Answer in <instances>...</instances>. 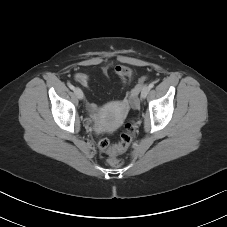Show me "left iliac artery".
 <instances>
[{
    "mask_svg": "<svg viewBox=\"0 0 227 227\" xmlns=\"http://www.w3.org/2000/svg\"><path fill=\"white\" fill-rule=\"evenodd\" d=\"M154 87V83H150L149 84V88L151 89V88H153Z\"/></svg>",
    "mask_w": 227,
    "mask_h": 227,
    "instance_id": "left-iliac-artery-1",
    "label": "left iliac artery"
}]
</instances>
